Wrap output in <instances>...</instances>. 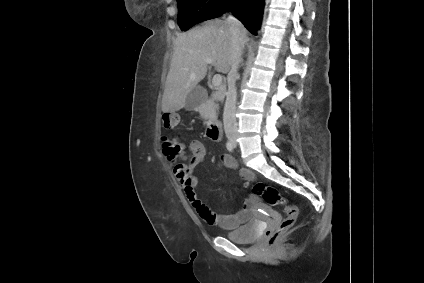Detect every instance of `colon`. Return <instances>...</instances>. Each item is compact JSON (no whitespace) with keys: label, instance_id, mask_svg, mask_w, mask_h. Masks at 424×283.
I'll return each instance as SVG.
<instances>
[{"label":"colon","instance_id":"1","mask_svg":"<svg viewBox=\"0 0 424 283\" xmlns=\"http://www.w3.org/2000/svg\"><path fill=\"white\" fill-rule=\"evenodd\" d=\"M161 120L166 129H173L179 123V115L176 113H163ZM182 150V145L175 139L163 138L162 152L168 160L176 161L179 159L182 156ZM252 190L256 196L262 197L266 203L283 207L285 216L281 223L276 228L268 229L265 233L268 244L273 246L279 237L295 224L298 208L283 197L276 188L265 183H256L253 185Z\"/></svg>","mask_w":424,"mask_h":283}]
</instances>
